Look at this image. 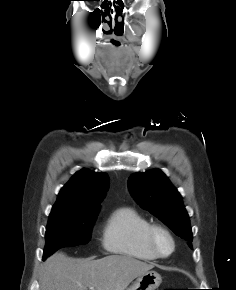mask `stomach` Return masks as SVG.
Wrapping results in <instances>:
<instances>
[{"mask_svg": "<svg viewBox=\"0 0 236 290\" xmlns=\"http://www.w3.org/2000/svg\"><path fill=\"white\" fill-rule=\"evenodd\" d=\"M162 282L161 275L156 271L137 277L136 281L127 290H156Z\"/></svg>", "mask_w": 236, "mask_h": 290, "instance_id": "0dacf381", "label": "stomach"}]
</instances>
